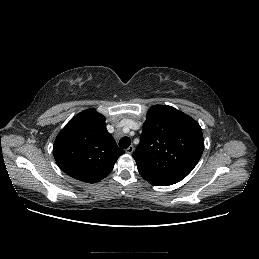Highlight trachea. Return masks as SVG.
Segmentation results:
<instances>
[{
  "label": "trachea",
  "mask_w": 259,
  "mask_h": 259,
  "mask_svg": "<svg viewBox=\"0 0 259 259\" xmlns=\"http://www.w3.org/2000/svg\"><path fill=\"white\" fill-rule=\"evenodd\" d=\"M131 144V139L129 137H122L119 141V146L122 149H127Z\"/></svg>",
  "instance_id": "1"
}]
</instances>
